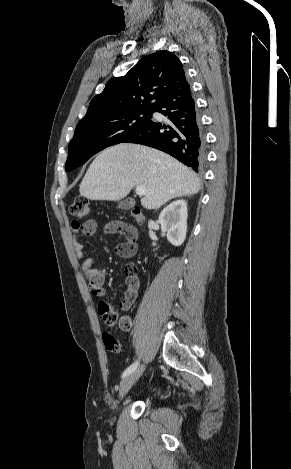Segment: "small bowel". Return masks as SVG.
I'll return each instance as SVG.
<instances>
[{
    "instance_id": "small-bowel-1",
    "label": "small bowel",
    "mask_w": 291,
    "mask_h": 469,
    "mask_svg": "<svg viewBox=\"0 0 291 469\" xmlns=\"http://www.w3.org/2000/svg\"><path fill=\"white\" fill-rule=\"evenodd\" d=\"M98 227H99V224L96 220H90L84 225H80L78 222H72V230L74 232L73 247H74L76 258L78 260H83L81 269L85 278L87 279L89 283V287L92 290V292L98 297H103L105 295L104 282H105L107 270L106 268H97V269L92 268L93 258L85 259V252H84L83 244L79 236L80 232L84 233L85 235H92L97 231ZM102 228H103V231L107 234H115L119 236L124 235L131 242H133L135 238V231L130 226L122 222L109 221V222L104 223ZM133 254L125 255L123 257H130ZM126 285H127V280H126ZM127 293L128 291L126 288L124 298H126ZM136 295L137 293H135L134 299L136 298ZM125 320H129L130 326H125L123 324V321ZM119 328L125 332L129 331L131 329V320L128 317H122L121 321L119 322Z\"/></svg>"
}]
</instances>
